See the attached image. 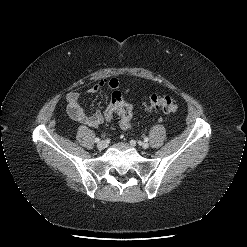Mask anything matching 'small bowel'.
<instances>
[{
    "label": "small bowel",
    "mask_w": 247,
    "mask_h": 247,
    "mask_svg": "<svg viewBox=\"0 0 247 247\" xmlns=\"http://www.w3.org/2000/svg\"><path fill=\"white\" fill-rule=\"evenodd\" d=\"M107 86L110 90L117 91L121 86V80L118 77L101 80L98 84L88 90L89 93H95L103 86ZM67 111L69 116L76 122L89 127H98L105 120V115L101 111H95L87 114L83 110L79 94L73 92L68 96Z\"/></svg>",
    "instance_id": "small-bowel-1"
}]
</instances>
